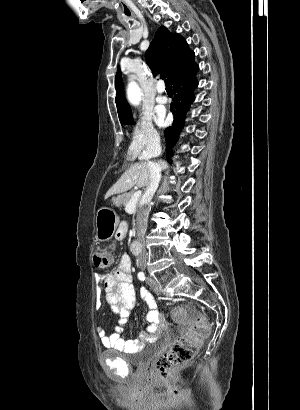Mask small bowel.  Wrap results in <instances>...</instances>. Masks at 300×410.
I'll use <instances>...</instances> for the list:
<instances>
[{"label":"small bowel","mask_w":300,"mask_h":410,"mask_svg":"<svg viewBox=\"0 0 300 410\" xmlns=\"http://www.w3.org/2000/svg\"><path fill=\"white\" fill-rule=\"evenodd\" d=\"M99 285L97 293L100 295L101 289L106 293L107 303L111 311L118 316L115 331L108 334L104 327L97 328V334L101 343L106 348L116 349L125 353L139 350L145 342L155 340L161 335L167 326L164 316L158 311L154 297L146 290L141 289L140 296L148 307L147 322L145 332L140 333L138 339H129L124 331L127 326L128 317L136 303V290L133 285L131 274V260L127 254H122L118 267L109 274L97 275ZM101 307V302H97V308Z\"/></svg>","instance_id":"small-bowel-1"}]
</instances>
